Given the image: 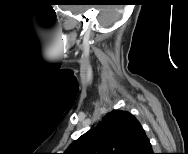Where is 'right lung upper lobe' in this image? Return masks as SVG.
<instances>
[{
	"label": "right lung upper lobe",
	"instance_id": "cb5924a9",
	"mask_svg": "<svg viewBox=\"0 0 188 154\" xmlns=\"http://www.w3.org/2000/svg\"><path fill=\"white\" fill-rule=\"evenodd\" d=\"M151 144L141 124L128 111L113 110L75 140L64 154H146Z\"/></svg>",
	"mask_w": 188,
	"mask_h": 154
}]
</instances>
